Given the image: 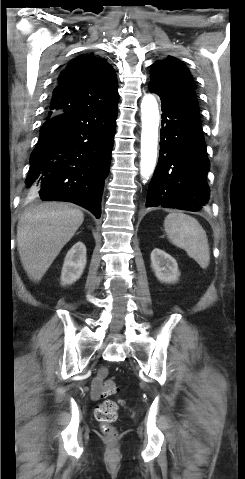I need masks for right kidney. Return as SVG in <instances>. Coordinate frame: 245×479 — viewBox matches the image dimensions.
I'll use <instances>...</instances> for the list:
<instances>
[{
    "label": "right kidney",
    "instance_id": "right-kidney-1",
    "mask_svg": "<svg viewBox=\"0 0 245 479\" xmlns=\"http://www.w3.org/2000/svg\"><path fill=\"white\" fill-rule=\"evenodd\" d=\"M86 262V247L79 241L67 252L61 271V285L76 282L82 276Z\"/></svg>",
    "mask_w": 245,
    "mask_h": 479
}]
</instances>
